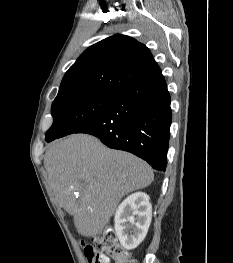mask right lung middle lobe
Returning a JSON list of instances; mask_svg holds the SVG:
<instances>
[{"instance_id":"1","label":"right lung middle lobe","mask_w":233,"mask_h":263,"mask_svg":"<svg viewBox=\"0 0 233 263\" xmlns=\"http://www.w3.org/2000/svg\"><path fill=\"white\" fill-rule=\"evenodd\" d=\"M117 93L81 91L57 96L52 104L53 125L46 133L48 142L75 133L100 116Z\"/></svg>"}]
</instances>
